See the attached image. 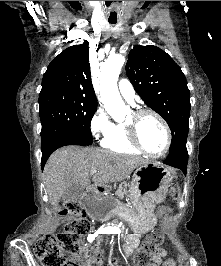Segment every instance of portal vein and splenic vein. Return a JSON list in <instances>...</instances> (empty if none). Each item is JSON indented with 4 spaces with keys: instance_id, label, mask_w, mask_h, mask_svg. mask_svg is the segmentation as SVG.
Masks as SVG:
<instances>
[{
    "instance_id": "obj_1",
    "label": "portal vein and splenic vein",
    "mask_w": 221,
    "mask_h": 266,
    "mask_svg": "<svg viewBox=\"0 0 221 266\" xmlns=\"http://www.w3.org/2000/svg\"><path fill=\"white\" fill-rule=\"evenodd\" d=\"M97 172H98V169H97V168H93V169L91 170V173H92V174L97 173Z\"/></svg>"
}]
</instances>
